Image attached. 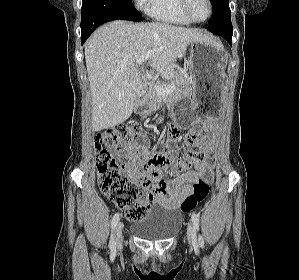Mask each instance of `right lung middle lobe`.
Segmentation results:
<instances>
[{"mask_svg":"<svg viewBox=\"0 0 299 280\" xmlns=\"http://www.w3.org/2000/svg\"><path fill=\"white\" fill-rule=\"evenodd\" d=\"M127 9H129L137 18L143 19L141 14L136 10L131 0H117Z\"/></svg>","mask_w":299,"mask_h":280,"instance_id":"1","label":"right lung middle lobe"}]
</instances>
